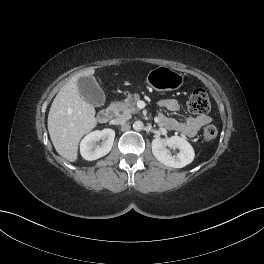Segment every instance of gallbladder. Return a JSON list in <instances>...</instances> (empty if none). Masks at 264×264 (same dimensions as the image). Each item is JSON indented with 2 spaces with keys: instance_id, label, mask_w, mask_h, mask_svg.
<instances>
[{
  "instance_id": "bac80fb5",
  "label": "gallbladder",
  "mask_w": 264,
  "mask_h": 264,
  "mask_svg": "<svg viewBox=\"0 0 264 264\" xmlns=\"http://www.w3.org/2000/svg\"><path fill=\"white\" fill-rule=\"evenodd\" d=\"M78 88L81 97L95 107L105 102V94L94 77H81L78 80Z\"/></svg>"
}]
</instances>
